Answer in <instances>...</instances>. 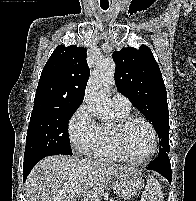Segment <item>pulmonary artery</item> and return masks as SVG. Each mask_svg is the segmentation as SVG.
Here are the masks:
<instances>
[{"label": "pulmonary artery", "mask_w": 196, "mask_h": 201, "mask_svg": "<svg viewBox=\"0 0 196 201\" xmlns=\"http://www.w3.org/2000/svg\"><path fill=\"white\" fill-rule=\"evenodd\" d=\"M114 109L122 111H130V101L128 98L120 93H115L111 99Z\"/></svg>", "instance_id": "pulmonary-artery-1"}]
</instances>
